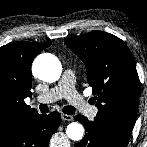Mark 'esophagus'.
<instances>
[{
    "label": "esophagus",
    "instance_id": "obj_1",
    "mask_svg": "<svg viewBox=\"0 0 147 147\" xmlns=\"http://www.w3.org/2000/svg\"><path fill=\"white\" fill-rule=\"evenodd\" d=\"M61 117L65 121H73V116L72 115L62 114Z\"/></svg>",
    "mask_w": 147,
    "mask_h": 147
}]
</instances>
